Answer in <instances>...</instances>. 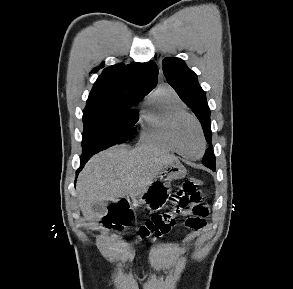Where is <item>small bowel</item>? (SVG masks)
Returning <instances> with one entry per match:
<instances>
[{
	"mask_svg": "<svg viewBox=\"0 0 293 289\" xmlns=\"http://www.w3.org/2000/svg\"><path fill=\"white\" fill-rule=\"evenodd\" d=\"M180 216L185 217L186 219L196 218L195 215L191 211H184ZM197 220H198V226L196 229L198 230L202 229L206 225L205 220L200 218H197ZM154 288L155 286L151 283L147 285V289H154Z\"/></svg>",
	"mask_w": 293,
	"mask_h": 289,
	"instance_id": "obj_1",
	"label": "small bowel"
}]
</instances>
